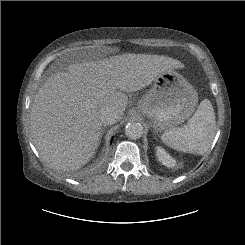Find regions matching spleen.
<instances>
[{
    "label": "spleen",
    "instance_id": "obj_1",
    "mask_svg": "<svg viewBox=\"0 0 245 245\" xmlns=\"http://www.w3.org/2000/svg\"><path fill=\"white\" fill-rule=\"evenodd\" d=\"M215 131L213 106L208 99H204L187 125L169 129L161 138L166 145L178 151L204 154L212 144Z\"/></svg>",
    "mask_w": 245,
    "mask_h": 245
}]
</instances>
